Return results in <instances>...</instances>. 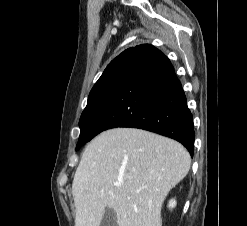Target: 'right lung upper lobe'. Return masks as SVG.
Masks as SVG:
<instances>
[{
  "instance_id": "1",
  "label": "right lung upper lobe",
  "mask_w": 247,
  "mask_h": 226,
  "mask_svg": "<svg viewBox=\"0 0 247 226\" xmlns=\"http://www.w3.org/2000/svg\"><path fill=\"white\" fill-rule=\"evenodd\" d=\"M134 48H129L127 50H125L124 52H122L119 56H117L114 60L111 61V63L106 67L105 71H107L111 66H113L116 62L123 60V59H127L129 57V54L131 53V51ZM104 71V72H105ZM103 72V73H104Z\"/></svg>"
}]
</instances>
